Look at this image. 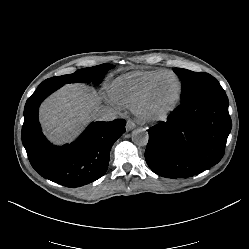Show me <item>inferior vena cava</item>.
Segmentation results:
<instances>
[{
  "label": "inferior vena cava",
  "mask_w": 249,
  "mask_h": 249,
  "mask_svg": "<svg viewBox=\"0 0 249 249\" xmlns=\"http://www.w3.org/2000/svg\"><path fill=\"white\" fill-rule=\"evenodd\" d=\"M94 115L97 120L101 121H113L117 119V112L110 106L100 108Z\"/></svg>",
  "instance_id": "obj_1"
}]
</instances>
